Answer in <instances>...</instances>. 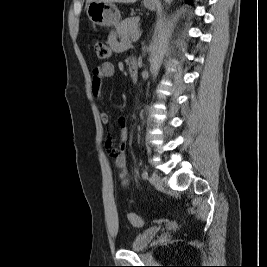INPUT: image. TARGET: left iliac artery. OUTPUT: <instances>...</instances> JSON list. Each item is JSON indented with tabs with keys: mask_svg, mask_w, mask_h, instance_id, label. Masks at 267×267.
<instances>
[{
	"mask_svg": "<svg viewBox=\"0 0 267 267\" xmlns=\"http://www.w3.org/2000/svg\"><path fill=\"white\" fill-rule=\"evenodd\" d=\"M142 178L145 180L148 179V172L146 170L142 172Z\"/></svg>",
	"mask_w": 267,
	"mask_h": 267,
	"instance_id": "1",
	"label": "left iliac artery"
}]
</instances>
